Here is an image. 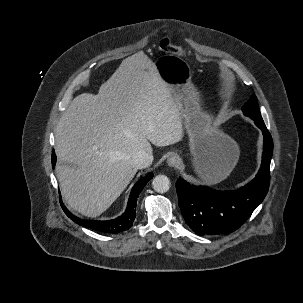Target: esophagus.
Here are the masks:
<instances>
[{
	"label": "esophagus",
	"instance_id": "esophagus-1",
	"mask_svg": "<svg viewBox=\"0 0 303 303\" xmlns=\"http://www.w3.org/2000/svg\"><path fill=\"white\" fill-rule=\"evenodd\" d=\"M167 164L170 167H176L179 164V157L176 154H172L167 158Z\"/></svg>",
	"mask_w": 303,
	"mask_h": 303
}]
</instances>
